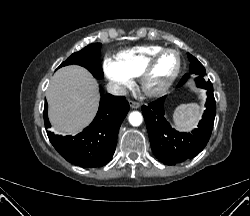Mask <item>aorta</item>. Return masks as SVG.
I'll return each instance as SVG.
<instances>
[{"mask_svg": "<svg viewBox=\"0 0 250 216\" xmlns=\"http://www.w3.org/2000/svg\"><path fill=\"white\" fill-rule=\"evenodd\" d=\"M128 120L132 126H139V125H141V123L143 121V117H142V114L140 112L133 111L130 113Z\"/></svg>", "mask_w": 250, "mask_h": 216, "instance_id": "762f6f07", "label": "aorta"}]
</instances>
